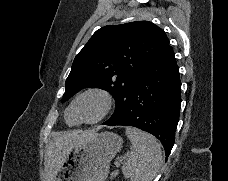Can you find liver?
I'll use <instances>...</instances> for the list:
<instances>
[{
    "label": "liver",
    "mask_w": 228,
    "mask_h": 181,
    "mask_svg": "<svg viewBox=\"0 0 228 181\" xmlns=\"http://www.w3.org/2000/svg\"><path fill=\"white\" fill-rule=\"evenodd\" d=\"M96 131H83L81 135L77 131H65V133H53V139L45 149V171L48 181H55L60 169H62L68 153L75 145L86 143L90 137H94Z\"/></svg>",
    "instance_id": "1"
}]
</instances>
